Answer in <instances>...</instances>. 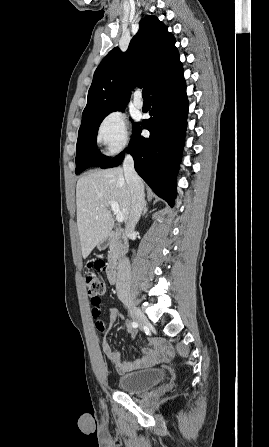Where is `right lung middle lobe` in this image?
Segmentation results:
<instances>
[{
    "mask_svg": "<svg viewBox=\"0 0 269 447\" xmlns=\"http://www.w3.org/2000/svg\"><path fill=\"white\" fill-rule=\"evenodd\" d=\"M123 110L124 108L118 109V111ZM109 113L79 129L76 152V174L81 173L89 167L100 166L109 159V157L101 154L96 147V136L98 127L104 117L107 116ZM138 124L139 123H133V130H135Z\"/></svg>",
    "mask_w": 269,
    "mask_h": 447,
    "instance_id": "dd1d6c3e",
    "label": "right lung middle lobe"
}]
</instances>
